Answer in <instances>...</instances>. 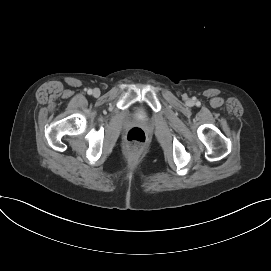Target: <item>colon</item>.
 Here are the masks:
<instances>
[{"instance_id":"colon-1","label":"colon","mask_w":271,"mask_h":271,"mask_svg":"<svg viewBox=\"0 0 271 271\" xmlns=\"http://www.w3.org/2000/svg\"><path fill=\"white\" fill-rule=\"evenodd\" d=\"M128 147L132 151H140L142 150L147 142V135L145 131L139 127L131 128L126 136Z\"/></svg>"}]
</instances>
